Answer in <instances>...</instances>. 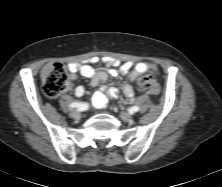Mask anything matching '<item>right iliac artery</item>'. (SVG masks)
<instances>
[{
    "label": "right iliac artery",
    "mask_w": 222,
    "mask_h": 187,
    "mask_svg": "<svg viewBox=\"0 0 222 187\" xmlns=\"http://www.w3.org/2000/svg\"><path fill=\"white\" fill-rule=\"evenodd\" d=\"M70 108H77L79 111L87 110L89 105L88 103H81V102H73L69 105Z\"/></svg>",
    "instance_id": "obj_1"
}]
</instances>
